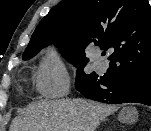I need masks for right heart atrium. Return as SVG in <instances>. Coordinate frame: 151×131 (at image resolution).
<instances>
[{"label": "right heart atrium", "instance_id": "obj_1", "mask_svg": "<svg viewBox=\"0 0 151 131\" xmlns=\"http://www.w3.org/2000/svg\"><path fill=\"white\" fill-rule=\"evenodd\" d=\"M36 84L38 91L46 97H60L68 92V69L55 51H49L41 60L36 72Z\"/></svg>", "mask_w": 151, "mask_h": 131}]
</instances>
